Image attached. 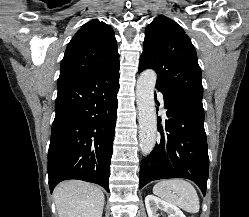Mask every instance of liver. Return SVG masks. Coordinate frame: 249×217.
Segmentation results:
<instances>
[{
	"label": "liver",
	"mask_w": 249,
	"mask_h": 217,
	"mask_svg": "<svg viewBox=\"0 0 249 217\" xmlns=\"http://www.w3.org/2000/svg\"><path fill=\"white\" fill-rule=\"evenodd\" d=\"M53 196L59 217H102L104 194L93 184L79 180L62 182Z\"/></svg>",
	"instance_id": "1"
}]
</instances>
